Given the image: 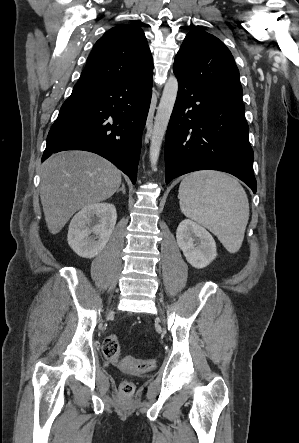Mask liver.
<instances>
[{
    "mask_svg": "<svg viewBox=\"0 0 299 443\" xmlns=\"http://www.w3.org/2000/svg\"><path fill=\"white\" fill-rule=\"evenodd\" d=\"M40 199L51 234L59 233L78 210L110 198L120 187L121 171L86 151H63L41 166Z\"/></svg>",
    "mask_w": 299,
    "mask_h": 443,
    "instance_id": "liver-1",
    "label": "liver"
}]
</instances>
